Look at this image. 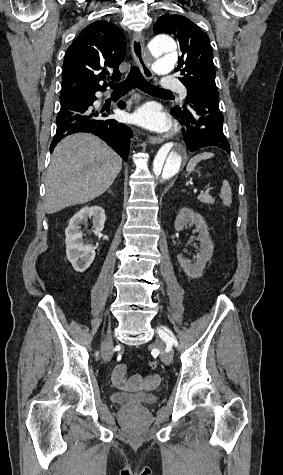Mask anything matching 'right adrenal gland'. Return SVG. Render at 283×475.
<instances>
[{"label":"right adrenal gland","instance_id":"2a0ac1e0","mask_svg":"<svg viewBox=\"0 0 283 475\" xmlns=\"http://www.w3.org/2000/svg\"><path fill=\"white\" fill-rule=\"evenodd\" d=\"M109 192H110V194H112V190H108V194H109Z\"/></svg>","mask_w":283,"mask_h":475}]
</instances>
